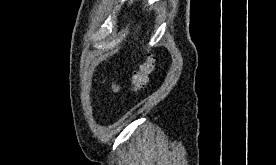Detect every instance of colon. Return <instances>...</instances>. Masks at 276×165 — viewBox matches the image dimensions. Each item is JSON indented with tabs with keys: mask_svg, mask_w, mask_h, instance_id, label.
Listing matches in <instances>:
<instances>
[{
	"mask_svg": "<svg viewBox=\"0 0 276 165\" xmlns=\"http://www.w3.org/2000/svg\"><path fill=\"white\" fill-rule=\"evenodd\" d=\"M154 70V57L151 53H148L143 61L139 64L138 68L132 75V91L138 93L144 89L148 82L151 73Z\"/></svg>",
	"mask_w": 276,
	"mask_h": 165,
	"instance_id": "5ec220e1",
	"label": "colon"
}]
</instances>
